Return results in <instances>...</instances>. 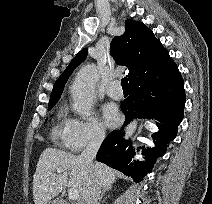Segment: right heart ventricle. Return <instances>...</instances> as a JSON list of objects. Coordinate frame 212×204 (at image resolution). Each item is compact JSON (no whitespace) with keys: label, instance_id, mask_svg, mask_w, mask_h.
Returning a JSON list of instances; mask_svg holds the SVG:
<instances>
[{"label":"right heart ventricle","instance_id":"obj_1","mask_svg":"<svg viewBox=\"0 0 212 204\" xmlns=\"http://www.w3.org/2000/svg\"><path fill=\"white\" fill-rule=\"evenodd\" d=\"M70 118L64 108H60L56 114L55 125L52 130V137L56 141L65 143L67 128Z\"/></svg>","mask_w":212,"mask_h":204}]
</instances>
